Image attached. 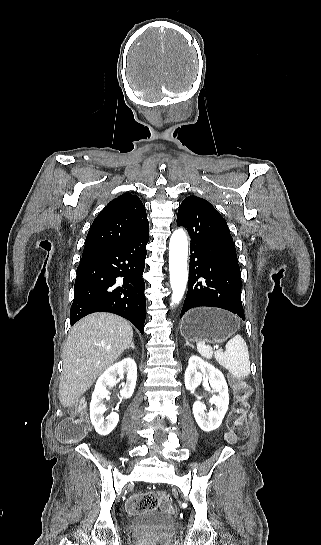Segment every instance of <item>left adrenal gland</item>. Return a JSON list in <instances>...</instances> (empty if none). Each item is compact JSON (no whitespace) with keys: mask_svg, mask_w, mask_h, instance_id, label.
<instances>
[{"mask_svg":"<svg viewBox=\"0 0 321 545\" xmlns=\"http://www.w3.org/2000/svg\"><path fill=\"white\" fill-rule=\"evenodd\" d=\"M186 345H189L188 341H186Z\"/></svg>","mask_w":321,"mask_h":545,"instance_id":"obj_1","label":"left adrenal gland"}]
</instances>
